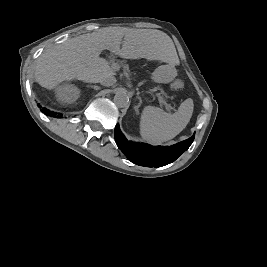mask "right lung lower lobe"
Returning a JSON list of instances; mask_svg holds the SVG:
<instances>
[{
	"mask_svg": "<svg viewBox=\"0 0 267 267\" xmlns=\"http://www.w3.org/2000/svg\"><path fill=\"white\" fill-rule=\"evenodd\" d=\"M44 112H45V114H47L48 110L44 109ZM48 114H50V112H48Z\"/></svg>",
	"mask_w": 267,
	"mask_h": 267,
	"instance_id": "1",
	"label": "right lung lower lobe"
}]
</instances>
